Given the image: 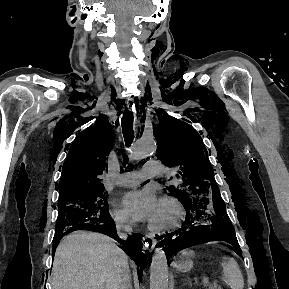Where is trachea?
Here are the masks:
<instances>
[{
	"label": "trachea",
	"instance_id": "3493384b",
	"mask_svg": "<svg viewBox=\"0 0 289 289\" xmlns=\"http://www.w3.org/2000/svg\"><path fill=\"white\" fill-rule=\"evenodd\" d=\"M122 132L126 146L129 147L134 139L133 113L126 110L122 118Z\"/></svg>",
	"mask_w": 289,
	"mask_h": 289
}]
</instances>
